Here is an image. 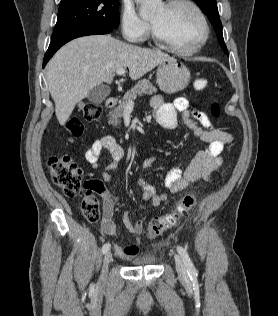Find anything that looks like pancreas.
I'll use <instances>...</instances> for the list:
<instances>
[{
	"label": "pancreas",
	"instance_id": "obj_1",
	"mask_svg": "<svg viewBox=\"0 0 278 316\" xmlns=\"http://www.w3.org/2000/svg\"><path fill=\"white\" fill-rule=\"evenodd\" d=\"M156 92L157 88L154 87L149 80H139L132 89L125 93L122 100H120L119 105L112 112L109 113V124H112L113 126L119 125V118L122 116L124 108L129 102L136 99L137 96L152 95Z\"/></svg>",
	"mask_w": 278,
	"mask_h": 316
}]
</instances>
